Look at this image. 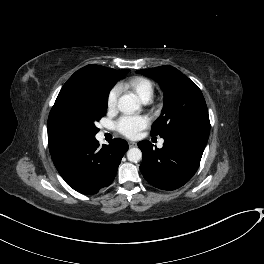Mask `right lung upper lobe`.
Instances as JSON below:
<instances>
[{
	"label": "right lung upper lobe",
	"mask_w": 264,
	"mask_h": 264,
	"mask_svg": "<svg viewBox=\"0 0 264 264\" xmlns=\"http://www.w3.org/2000/svg\"><path fill=\"white\" fill-rule=\"evenodd\" d=\"M109 68H106L104 66H99V65H87L78 71H76L69 79H73L78 77L81 74H86L90 73L93 71H102V70H108ZM48 126V125H47ZM77 142H69V141H64L62 139H59L53 132L50 126H48V146H49V151L50 154H54L57 151L63 149L64 147L74 144Z\"/></svg>",
	"instance_id": "right-lung-upper-lobe-1"
}]
</instances>
